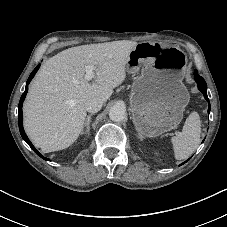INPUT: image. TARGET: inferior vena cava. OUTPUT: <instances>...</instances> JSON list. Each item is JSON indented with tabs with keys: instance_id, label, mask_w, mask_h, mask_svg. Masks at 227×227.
Wrapping results in <instances>:
<instances>
[{
	"instance_id": "inferior-vena-cava-1",
	"label": "inferior vena cava",
	"mask_w": 227,
	"mask_h": 227,
	"mask_svg": "<svg viewBox=\"0 0 227 227\" xmlns=\"http://www.w3.org/2000/svg\"><path fill=\"white\" fill-rule=\"evenodd\" d=\"M103 103V100L100 98H91L86 101L85 109L90 113H96L101 109Z\"/></svg>"
}]
</instances>
